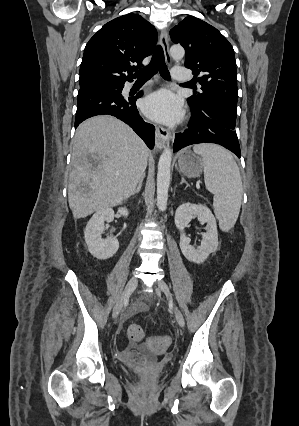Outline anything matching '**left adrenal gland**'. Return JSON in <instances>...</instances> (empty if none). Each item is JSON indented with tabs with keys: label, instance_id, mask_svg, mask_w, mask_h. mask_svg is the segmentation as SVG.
<instances>
[{
	"label": "left adrenal gland",
	"instance_id": "left-adrenal-gland-1",
	"mask_svg": "<svg viewBox=\"0 0 299 426\" xmlns=\"http://www.w3.org/2000/svg\"><path fill=\"white\" fill-rule=\"evenodd\" d=\"M183 183H185L186 186H189V184L186 182L185 178L181 177V183L180 184H183Z\"/></svg>",
	"mask_w": 299,
	"mask_h": 426
}]
</instances>
